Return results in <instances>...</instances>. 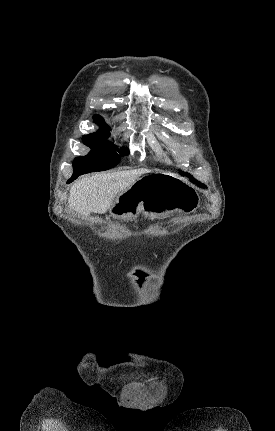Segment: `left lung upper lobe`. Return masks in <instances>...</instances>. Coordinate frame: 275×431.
<instances>
[{"label":"left lung upper lobe","instance_id":"obj_1","mask_svg":"<svg viewBox=\"0 0 275 431\" xmlns=\"http://www.w3.org/2000/svg\"><path fill=\"white\" fill-rule=\"evenodd\" d=\"M180 174L181 175H183V176H187V177H189V178H193L190 174H188V173H184V172H180ZM194 179V178H193Z\"/></svg>","mask_w":275,"mask_h":431}]
</instances>
